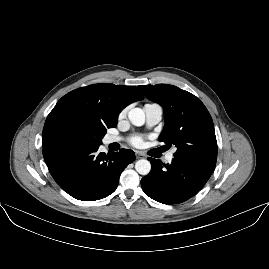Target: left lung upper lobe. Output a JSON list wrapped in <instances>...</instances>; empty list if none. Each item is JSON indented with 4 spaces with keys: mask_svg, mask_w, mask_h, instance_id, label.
<instances>
[{
    "mask_svg": "<svg viewBox=\"0 0 269 269\" xmlns=\"http://www.w3.org/2000/svg\"><path fill=\"white\" fill-rule=\"evenodd\" d=\"M145 96L160 104L165 125L159 141L175 145L174 158L214 171L217 141L212 118L193 94L173 85L139 86Z\"/></svg>",
    "mask_w": 269,
    "mask_h": 269,
    "instance_id": "left-lung-upper-lobe-1",
    "label": "left lung upper lobe"
}]
</instances>
